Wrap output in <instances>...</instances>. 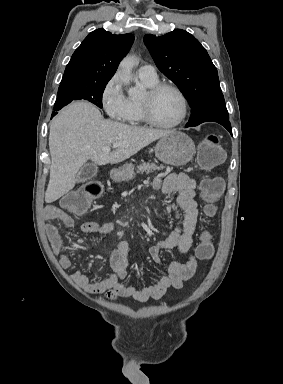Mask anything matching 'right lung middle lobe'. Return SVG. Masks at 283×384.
Instances as JSON below:
<instances>
[{
	"label": "right lung middle lobe",
	"mask_w": 283,
	"mask_h": 384,
	"mask_svg": "<svg viewBox=\"0 0 283 384\" xmlns=\"http://www.w3.org/2000/svg\"><path fill=\"white\" fill-rule=\"evenodd\" d=\"M107 83L60 86L54 109L60 110L73 100H88L102 108V94Z\"/></svg>",
	"instance_id": "obj_1"
}]
</instances>
